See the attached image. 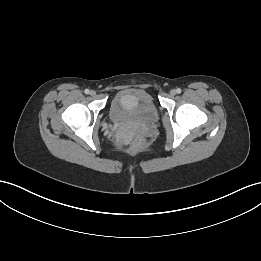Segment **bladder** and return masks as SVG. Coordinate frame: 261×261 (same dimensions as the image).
Instances as JSON below:
<instances>
[{
	"mask_svg": "<svg viewBox=\"0 0 261 261\" xmlns=\"http://www.w3.org/2000/svg\"><path fill=\"white\" fill-rule=\"evenodd\" d=\"M109 115L117 123L151 124L158 118L153 96L142 89H125L111 99Z\"/></svg>",
	"mask_w": 261,
	"mask_h": 261,
	"instance_id": "obj_1",
	"label": "bladder"
}]
</instances>
